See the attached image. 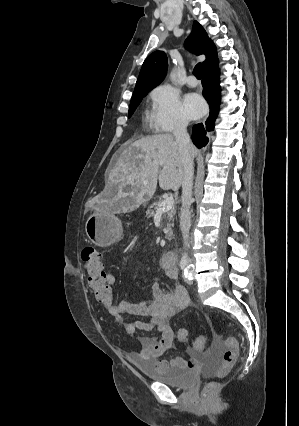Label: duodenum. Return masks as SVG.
<instances>
[{
    "label": "duodenum",
    "instance_id": "obj_1",
    "mask_svg": "<svg viewBox=\"0 0 299 426\" xmlns=\"http://www.w3.org/2000/svg\"><path fill=\"white\" fill-rule=\"evenodd\" d=\"M177 261V253L174 250L166 251L162 256V263L169 265L174 264Z\"/></svg>",
    "mask_w": 299,
    "mask_h": 426
}]
</instances>
